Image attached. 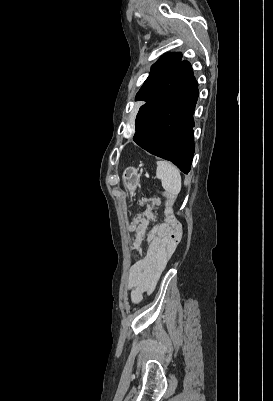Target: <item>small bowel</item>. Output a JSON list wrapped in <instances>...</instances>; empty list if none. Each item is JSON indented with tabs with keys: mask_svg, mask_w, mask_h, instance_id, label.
Wrapping results in <instances>:
<instances>
[{
	"mask_svg": "<svg viewBox=\"0 0 273 401\" xmlns=\"http://www.w3.org/2000/svg\"><path fill=\"white\" fill-rule=\"evenodd\" d=\"M130 221L134 232L133 247L138 248L144 241L148 243L144 255L131 266L128 274L126 289L131 302L137 304L145 293H151L156 287L177 241H153L154 229L161 228V224L146 231V224L153 222L151 215H133Z\"/></svg>",
	"mask_w": 273,
	"mask_h": 401,
	"instance_id": "small-bowel-1",
	"label": "small bowel"
}]
</instances>
